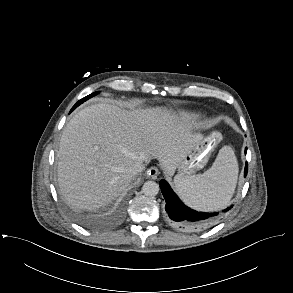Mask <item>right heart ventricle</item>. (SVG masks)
Listing matches in <instances>:
<instances>
[{"label":"right heart ventricle","mask_w":293,"mask_h":293,"mask_svg":"<svg viewBox=\"0 0 293 293\" xmlns=\"http://www.w3.org/2000/svg\"><path fill=\"white\" fill-rule=\"evenodd\" d=\"M182 117L189 121H197L202 117V114L196 111H188V112H184L182 114Z\"/></svg>","instance_id":"obj_1"}]
</instances>
